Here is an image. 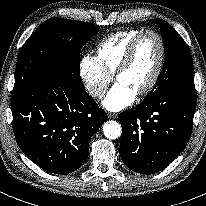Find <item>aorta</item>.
I'll list each match as a JSON object with an SVG mask.
<instances>
[{
	"mask_svg": "<svg viewBox=\"0 0 206 206\" xmlns=\"http://www.w3.org/2000/svg\"><path fill=\"white\" fill-rule=\"evenodd\" d=\"M121 132V125L114 120H109L103 125V133L108 139H117L118 137H120Z\"/></svg>",
	"mask_w": 206,
	"mask_h": 206,
	"instance_id": "aorta-1",
	"label": "aorta"
}]
</instances>
